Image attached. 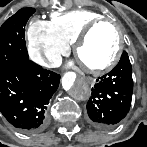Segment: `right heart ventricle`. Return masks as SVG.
Instances as JSON below:
<instances>
[{
    "instance_id": "obj_1",
    "label": "right heart ventricle",
    "mask_w": 147,
    "mask_h": 147,
    "mask_svg": "<svg viewBox=\"0 0 147 147\" xmlns=\"http://www.w3.org/2000/svg\"><path fill=\"white\" fill-rule=\"evenodd\" d=\"M100 18V14L89 10H74L67 13L52 14L49 25L54 36L68 46L74 43L87 25Z\"/></svg>"
}]
</instances>
